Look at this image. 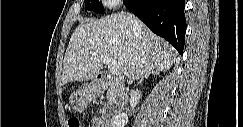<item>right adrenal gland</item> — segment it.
Returning a JSON list of instances; mask_svg holds the SVG:
<instances>
[{"label": "right adrenal gland", "instance_id": "1", "mask_svg": "<svg viewBox=\"0 0 243 127\" xmlns=\"http://www.w3.org/2000/svg\"><path fill=\"white\" fill-rule=\"evenodd\" d=\"M158 73H159V72H158L157 70L152 71V72L147 71L145 74H143V75L141 76V78H140V80L137 82V84H141V82L143 81V79H144V78H148V77L150 76V74L156 75V74H158Z\"/></svg>", "mask_w": 243, "mask_h": 127}]
</instances>
